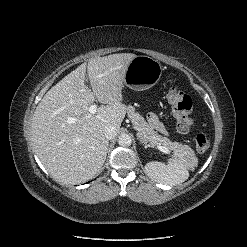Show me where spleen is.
<instances>
[{"mask_svg":"<svg viewBox=\"0 0 247 247\" xmlns=\"http://www.w3.org/2000/svg\"><path fill=\"white\" fill-rule=\"evenodd\" d=\"M189 161L197 162V159L174 158L165 163L158 161L148 162L145 166L147 176L161 184L175 186L186 181L189 177Z\"/></svg>","mask_w":247,"mask_h":247,"instance_id":"3e777b00","label":"spleen"}]
</instances>
